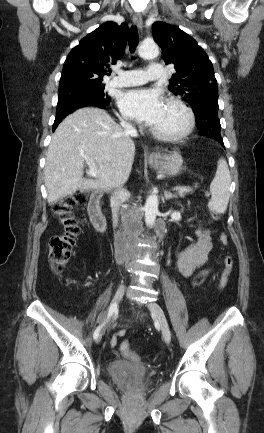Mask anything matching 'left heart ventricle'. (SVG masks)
<instances>
[{
    "label": "left heart ventricle",
    "instance_id": "left-heart-ventricle-1",
    "mask_svg": "<svg viewBox=\"0 0 264 433\" xmlns=\"http://www.w3.org/2000/svg\"><path fill=\"white\" fill-rule=\"evenodd\" d=\"M185 122V114L179 108L165 104L159 120L152 128L164 133H175L184 127Z\"/></svg>",
    "mask_w": 264,
    "mask_h": 433
}]
</instances>
